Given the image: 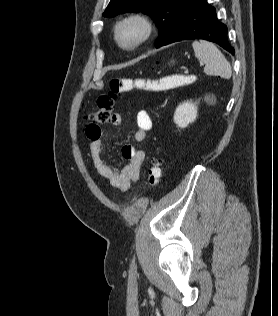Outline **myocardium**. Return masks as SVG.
<instances>
[{
  "mask_svg": "<svg viewBox=\"0 0 278 316\" xmlns=\"http://www.w3.org/2000/svg\"><path fill=\"white\" fill-rule=\"evenodd\" d=\"M127 26H135L138 29L137 36L130 42H125L120 32ZM154 32V23L152 19L143 12H131L121 17L114 25L113 37L116 44L123 50L133 51L145 44Z\"/></svg>",
  "mask_w": 278,
  "mask_h": 316,
  "instance_id": "1",
  "label": "myocardium"
}]
</instances>
